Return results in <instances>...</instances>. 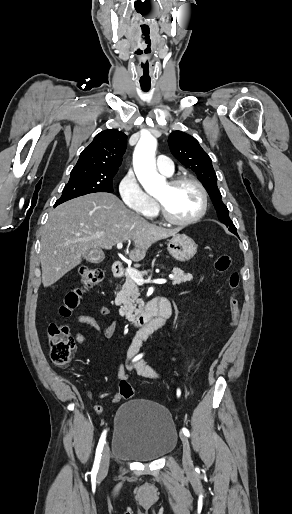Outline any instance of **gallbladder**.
Wrapping results in <instances>:
<instances>
[{
    "label": "gallbladder",
    "mask_w": 292,
    "mask_h": 514,
    "mask_svg": "<svg viewBox=\"0 0 292 514\" xmlns=\"http://www.w3.org/2000/svg\"><path fill=\"white\" fill-rule=\"evenodd\" d=\"M84 256H85L86 260H88V254H84Z\"/></svg>",
    "instance_id": "bac80fb5"
}]
</instances>
